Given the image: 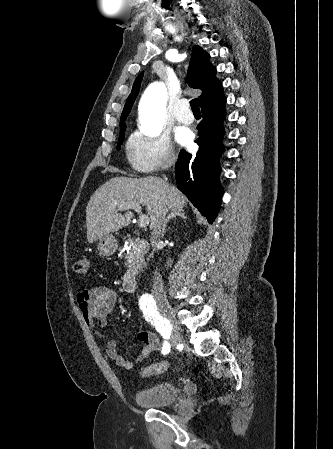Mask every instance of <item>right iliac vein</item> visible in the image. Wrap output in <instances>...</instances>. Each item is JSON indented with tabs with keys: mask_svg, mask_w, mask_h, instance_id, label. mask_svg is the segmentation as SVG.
Masks as SVG:
<instances>
[{
	"mask_svg": "<svg viewBox=\"0 0 333 449\" xmlns=\"http://www.w3.org/2000/svg\"><path fill=\"white\" fill-rule=\"evenodd\" d=\"M159 308L161 313L164 315V317L167 319L171 326V332H170V343L172 346H175L177 343H179L182 339L180 329L179 327L174 323L173 321V310L169 303L167 302H160Z\"/></svg>",
	"mask_w": 333,
	"mask_h": 449,
	"instance_id": "63e3f726",
	"label": "right iliac vein"
}]
</instances>
